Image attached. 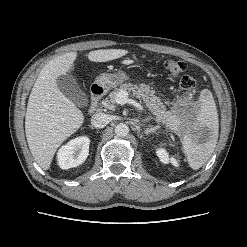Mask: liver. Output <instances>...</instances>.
<instances>
[{
    "mask_svg": "<svg viewBox=\"0 0 247 247\" xmlns=\"http://www.w3.org/2000/svg\"><path fill=\"white\" fill-rule=\"evenodd\" d=\"M124 49H102L88 53L92 62H107L125 56ZM77 52L50 60L40 71L29 96L25 133L29 149L44 170H48L58 147L83 124L84 115L58 88L56 79L74 69Z\"/></svg>",
    "mask_w": 247,
    "mask_h": 247,
    "instance_id": "1",
    "label": "liver"
}]
</instances>
